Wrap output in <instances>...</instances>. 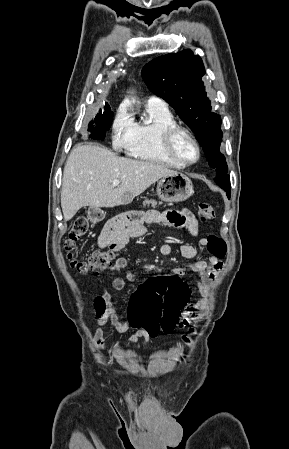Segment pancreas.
I'll use <instances>...</instances> for the list:
<instances>
[{"instance_id":"obj_1","label":"pancreas","mask_w":289,"mask_h":449,"mask_svg":"<svg viewBox=\"0 0 289 449\" xmlns=\"http://www.w3.org/2000/svg\"><path fill=\"white\" fill-rule=\"evenodd\" d=\"M160 204H162V203H160ZM156 205H157V202L155 200H148V199H146L143 202V206L144 207H146V206L155 207Z\"/></svg>"}]
</instances>
